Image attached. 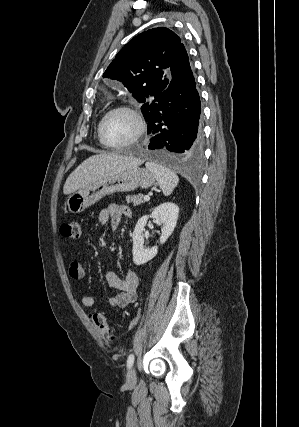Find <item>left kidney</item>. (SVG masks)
<instances>
[{
  "instance_id": "left-kidney-1",
  "label": "left kidney",
  "mask_w": 299,
  "mask_h": 427,
  "mask_svg": "<svg viewBox=\"0 0 299 427\" xmlns=\"http://www.w3.org/2000/svg\"><path fill=\"white\" fill-rule=\"evenodd\" d=\"M179 214V207L172 202H165L157 206L150 215L141 217L133 231V262L142 265L153 259L158 253V247L144 248L143 231L149 218H153L161 226L160 244H164L173 233Z\"/></svg>"
}]
</instances>
